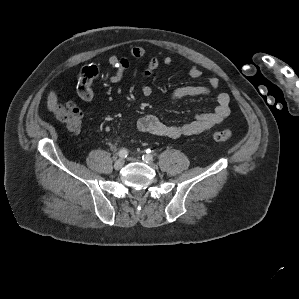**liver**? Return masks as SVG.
Listing matches in <instances>:
<instances>
[{
    "mask_svg": "<svg viewBox=\"0 0 299 299\" xmlns=\"http://www.w3.org/2000/svg\"><path fill=\"white\" fill-rule=\"evenodd\" d=\"M57 95L54 91H50L47 98V108L49 111H54L57 108Z\"/></svg>",
    "mask_w": 299,
    "mask_h": 299,
    "instance_id": "obj_1",
    "label": "liver"
}]
</instances>
